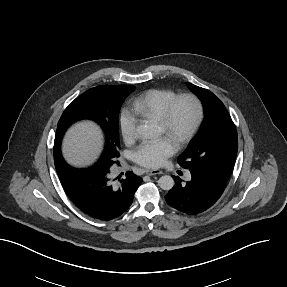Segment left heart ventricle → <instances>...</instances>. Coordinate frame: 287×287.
<instances>
[{"mask_svg":"<svg viewBox=\"0 0 287 287\" xmlns=\"http://www.w3.org/2000/svg\"><path fill=\"white\" fill-rule=\"evenodd\" d=\"M193 116L192 106L184 101L181 102L175 110V124H174V134L169 139H171L175 144L178 136L188 127ZM160 132H162L159 126Z\"/></svg>","mask_w":287,"mask_h":287,"instance_id":"1","label":"left heart ventricle"}]
</instances>
